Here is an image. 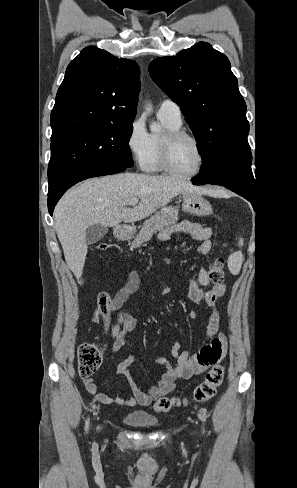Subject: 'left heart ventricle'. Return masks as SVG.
Returning a JSON list of instances; mask_svg holds the SVG:
<instances>
[{
    "mask_svg": "<svg viewBox=\"0 0 297 488\" xmlns=\"http://www.w3.org/2000/svg\"><path fill=\"white\" fill-rule=\"evenodd\" d=\"M199 154L194 143L187 139L178 141L172 150V165L181 173L192 172L198 165Z\"/></svg>",
    "mask_w": 297,
    "mask_h": 488,
    "instance_id": "left-heart-ventricle-1",
    "label": "left heart ventricle"
}]
</instances>
